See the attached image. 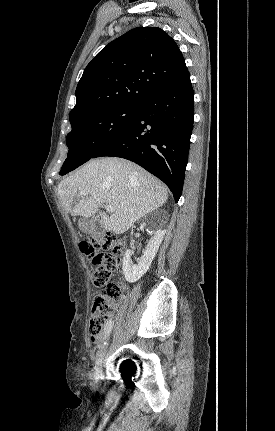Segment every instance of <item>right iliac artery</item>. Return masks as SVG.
<instances>
[{
	"instance_id": "right-iliac-artery-1",
	"label": "right iliac artery",
	"mask_w": 275,
	"mask_h": 431,
	"mask_svg": "<svg viewBox=\"0 0 275 431\" xmlns=\"http://www.w3.org/2000/svg\"><path fill=\"white\" fill-rule=\"evenodd\" d=\"M113 326H114V321H113V320H109V321L106 323V326H105V334H104L103 342L101 343V345H99V349H102V348H103V346L106 344L105 340H106V339L108 338V336L110 335V333H111V331H112V329H113Z\"/></svg>"
}]
</instances>
